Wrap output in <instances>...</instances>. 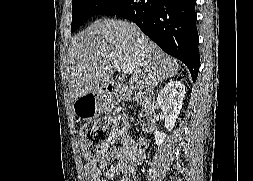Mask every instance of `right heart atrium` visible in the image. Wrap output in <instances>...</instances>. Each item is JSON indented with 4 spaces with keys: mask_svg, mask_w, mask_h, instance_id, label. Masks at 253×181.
<instances>
[{
    "mask_svg": "<svg viewBox=\"0 0 253 181\" xmlns=\"http://www.w3.org/2000/svg\"><path fill=\"white\" fill-rule=\"evenodd\" d=\"M105 1L110 8H115L119 5L121 0H105Z\"/></svg>",
    "mask_w": 253,
    "mask_h": 181,
    "instance_id": "1",
    "label": "right heart atrium"
}]
</instances>
